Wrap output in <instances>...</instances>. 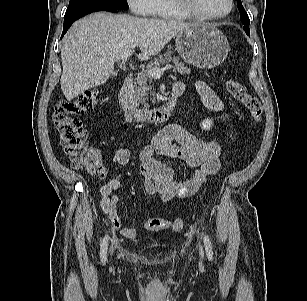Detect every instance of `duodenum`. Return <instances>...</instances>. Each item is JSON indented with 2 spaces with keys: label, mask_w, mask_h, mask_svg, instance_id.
<instances>
[{
  "label": "duodenum",
  "mask_w": 307,
  "mask_h": 301,
  "mask_svg": "<svg viewBox=\"0 0 307 301\" xmlns=\"http://www.w3.org/2000/svg\"><path fill=\"white\" fill-rule=\"evenodd\" d=\"M132 77H126L119 92V102L123 110L138 123L158 124L169 118L176 108L177 100L182 95L181 88H173L168 101L155 109H143L133 99Z\"/></svg>",
  "instance_id": "obj_1"
}]
</instances>
